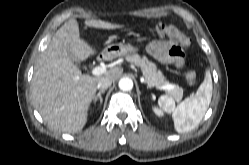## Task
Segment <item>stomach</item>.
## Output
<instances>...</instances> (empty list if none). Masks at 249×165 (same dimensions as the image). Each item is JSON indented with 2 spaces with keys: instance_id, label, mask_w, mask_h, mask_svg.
<instances>
[{
  "instance_id": "obj_1",
  "label": "stomach",
  "mask_w": 249,
  "mask_h": 165,
  "mask_svg": "<svg viewBox=\"0 0 249 165\" xmlns=\"http://www.w3.org/2000/svg\"><path fill=\"white\" fill-rule=\"evenodd\" d=\"M138 50L139 48L131 43H115L105 48L102 55L106 58H115L118 56L132 55Z\"/></svg>"
}]
</instances>
